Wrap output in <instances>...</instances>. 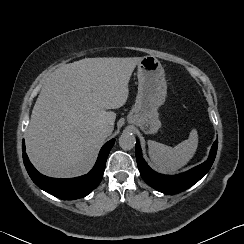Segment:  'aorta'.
I'll return each instance as SVG.
<instances>
[{
	"label": "aorta",
	"instance_id": "1",
	"mask_svg": "<svg viewBox=\"0 0 244 244\" xmlns=\"http://www.w3.org/2000/svg\"><path fill=\"white\" fill-rule=\"evenodd\" d=\"M136 139L132 133L123 132L119 137V145L123 150H131L135 147Z\"/></svg>",
	"mask_w": 244,
	"mask_h": 244
}]
</instances>
